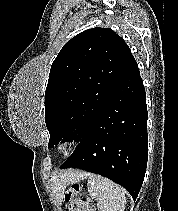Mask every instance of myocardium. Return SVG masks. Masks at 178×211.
<instances>
[{
    "label": "myocardium",
    "mask_w": 178,
    "mask_h": 211,
    "mask_svg": "<svg viewBox=\"0 0 178 211\" xmlns=\"http://www.w3.org/2000/svg\"><path fill=\"white\" fill-rule=\"evenodd\" d=\"M75 143L73 138L70 136H63L57 143L56 149L60 153H66L69 152L73 147Z\"/></svg>",
    "instance_id": "obj_1"
}]
</instances>
